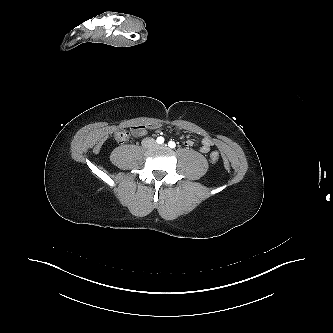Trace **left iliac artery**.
Masks as SVG:
<instances>
[{
	"mask_svg": "<svg viewBox=\"0 0 333 333\" xmlns=\"http://www.w3.org/2000/svg\"><path fill=\"white\" fill-rule=\"evenodd\" d=\"M168 146H169L170 148H175V147H176V144H175L174 141H169V142H168Z\"/></svg>",
	"mask_w": 333,
	"mask_h": 333,
	"instance_id": "1",
	"label": "left iliac artery"
}]
</instances>
